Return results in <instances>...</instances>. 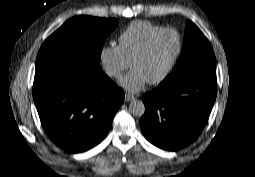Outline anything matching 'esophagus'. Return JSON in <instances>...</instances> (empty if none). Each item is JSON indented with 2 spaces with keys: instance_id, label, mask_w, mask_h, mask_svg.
Instances as JSON below:
<instances>
[{
  "instance_id": "1",
  "label": "esophagus",
  "mask_w": 255,
  "mask_h": 177,
  "mask_svg": "<svg viewBox=\"0 0 255 177\" xmlns=\"http://www.w3.org/2000/svg\"><path fill=\"white\" fill-rule=\"evenodd\" d=\"M135 97L131 94L125 93V102L133 100Z\"/></svg>"
}]
</instances>
